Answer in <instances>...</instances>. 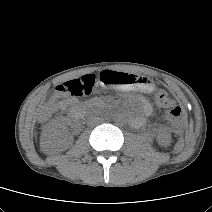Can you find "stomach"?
Listing matches in <instances>:
<instances>
[{
    "label": "stomach",
    "instance_id": "1",
    "mask_svg": "<svg viewBox=\"0 0 212 212\" xmlns=\"http://www.w3.org/2000/svg\"><path fill=\"white\" fill-rule=\"evenodd\" d=\"M98 81L102 85L112 86L117 89L129 91L135 88L150 89L149 84H144L146 78H142L126 72H113L104 69L98 74Z\"/></svg>",
    "mask_w": 212,
    "mask_h": 212
}]
</instances>
